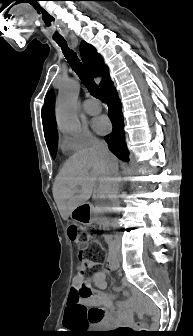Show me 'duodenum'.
Returning <instances> with one entry per match:
<instances>
[{
  "label": "duodenum",
  "instance_id": "1",
  "mask_svg": "<svg viewBox=\"0 0 193 336\" xmlns=\"http://www.w3.org/2000/svg\"><path fill=\"white\" fill-rule=\"evenodd\" d=\"M108 239H109V240H112L111 237H108ZM115 259H116V257H115L114 249L111 248V249H110L109 260H110V266H111L112 268H116V262H115ZM136 303H137L138 305H141V303H142L141 299L138 298V299L136 300Z\"/></svg>",
  "mask_w": 193,
  "mask_h": 336
}]
</instances>
